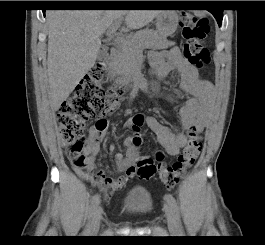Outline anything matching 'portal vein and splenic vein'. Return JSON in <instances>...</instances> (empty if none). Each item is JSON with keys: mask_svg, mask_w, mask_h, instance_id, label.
Wrapping results in <instances>:
<instances>
[{"mask_svg": "<svg viewBox=\"0 0 265 245\" xmlns=\"http://www.w3.org/2000/svg\"><path fill=\"white\" fill-rule=\"evenodd\" d=\"M121 24V19H118L117 21H115L109 28V30L107 31V35H108V39H112L114 37L115 32L117 31V29L119 28ZM115 41L117 43L120 44H126L127 43V39H125L123 36L121 35H117L115 37Z\"/></svg>", "mask_w": 265, "mask_h": 245, "instance_id": "obj_1", "label": "portal vein and splenic vein"}]
</instances>
